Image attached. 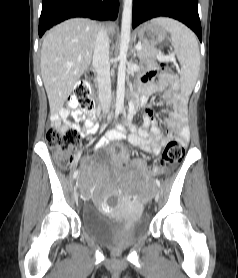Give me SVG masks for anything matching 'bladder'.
Masks as SVG:
<instances>
[{"mask_svg":"<svg viewBox=\"0 0 238 278\" xmlns=\"http://www.w3.org/2000/svg\"><path fill=\"white\" fill-rule=\"evenodd\" d=\"M147 226L144 215L135 220L112 218L92 204L85 205L82 211L83 230L99 243L110 247L135 241L146 232Z\"/></svg>","mask_w":238,"mask_h":278,"instance_id":"obj_1","label":"bladder"}]
</instances>
